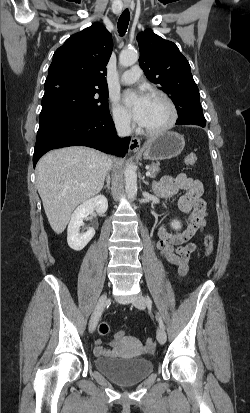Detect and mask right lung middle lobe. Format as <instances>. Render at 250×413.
I'll return each mask as SVG.
<instances>
[{"instance_id": "obj_1", "label": "right lung middle lobe", "mask_w": 250, "mask_h": 413, "mask_svg": "<svg viewBox=\"0 0 250 413\" xmlns=\"http://www.w3.org/2000/svg\"><path fill=\"white\" fill-rule=\"evenodd\" d=\"M109 113L108 89L79 85H64L44 94L40 122L60 113Z\"/></svg>"}]
</instances>
